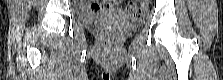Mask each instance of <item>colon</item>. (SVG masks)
<instances>
[{
	"instance_id": "5ec220e1",
	"label": "colon",
	"mask_w": 223,
	"mask_h": 80,
	"mask_svg": "<svg viewBox=\"0 0 223 80\" xmlns=\"http://www.w3.org/2000/svg\"><path fill=\"white\" fill-rule=\"evenodd\" d=\"M127 14L134 18L137 19L140 17V7L136 3H131L127 8H126Z\"/></svg>"
}]
</instances>
